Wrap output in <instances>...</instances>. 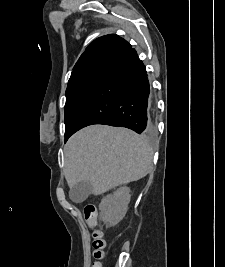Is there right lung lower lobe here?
I'll return each instance as SVG.
<instances>
[{
	"label": "right lung lower lobe",
	"instance_id": "98d812e1",
	"mask_svg": "<svg viewBox=\"0 0 225 267\" xmlns=\"http://www.w3.org/2000/svg\"><path fill=\"white\" fill-rule=\"evenodd\" d=\"M150 87L146 68L135 49L120 54L88 96L72 134L92 124L126 127L150 135Z\"/></svg>",
	"mask_w": 225,
	"mask_h": 267
}]
</instances>
